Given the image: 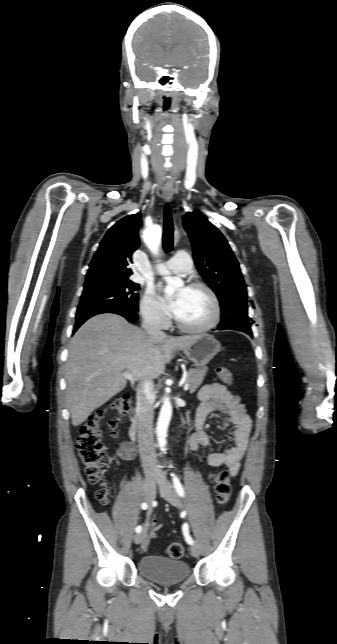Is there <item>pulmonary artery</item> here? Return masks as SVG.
<instances>
[{"instance_id":"e3ab8cb5","label":"pulmonary artery","mask_w":337,"mask_h":644,"mask_svg":"<svg viewBox=\"0 0 337 644\" xmlns=\"http://www.w3.org/2000/svg\"><path fill=\"white\" fill-rule=\"evenodd\" d=\"M165 267L174 273L186 272L192 268V260L187 253L178 252L165 263Z\"/></svg>"}]
</instances>
